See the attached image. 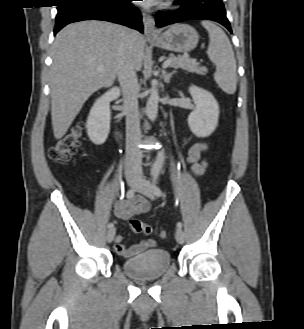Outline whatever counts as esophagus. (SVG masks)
I'll use <instances>...</instances> for the list:
<instances>
[{
    "mask_svg": "<svg viewBox=\"0 0 304 329\" xmlns=\"http://www.w3.org/2000/svg\"><path fill=\"white\" fill-rule=\"evenodd\" d=\"M143 25L144 33L147 37H153L157 35L155 20L150 14L146 12L143 13Z\"/></svg>",
    "mask_w": 304,
    "mask_h": 329,
    "instance_id": "34e87169",
    "label": "esophagus"
}]
</instances>
